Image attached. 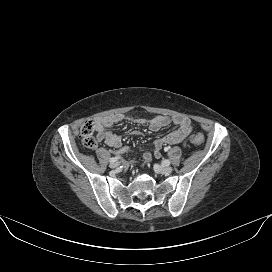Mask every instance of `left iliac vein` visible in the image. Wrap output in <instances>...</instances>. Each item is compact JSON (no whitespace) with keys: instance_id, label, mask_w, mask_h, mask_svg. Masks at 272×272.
Here are the masks:
<instances>
[{"instance_id":"1","label":"left iliac vein","mask_w":272,"mask_h":272,"mask_svg":"<svg viewBox=\"0 0 272 272\" xmlns=\"http://www.w3.org/2000/svg\"><path fill=\"white\" fill-rule=\"evenodd\" d=\"M154 169L157 173L169 175L172 172V168L166 165H155Z\"/></svg>"}]
</instances>
